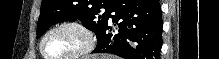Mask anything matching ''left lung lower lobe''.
<instances>
[{"mask_svg":"<svg viewBox=\"0 0 219 59\" xmlns=\"http://www.w3.org/2000/svg\"><path fill=\"white\" fill-rule=\"evenodd\" d=\"M112 23H116L117 30H113ZM162 27L158 0H114L92 53H110L124 59H160Z\"/></svg>","mask_w":219,"mask_h":59,"instance_id":"0a47b994","label":"left lung lower lobe"}]
</instances>
